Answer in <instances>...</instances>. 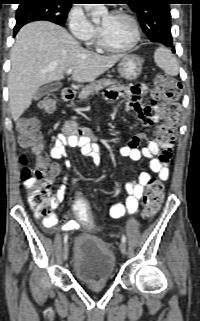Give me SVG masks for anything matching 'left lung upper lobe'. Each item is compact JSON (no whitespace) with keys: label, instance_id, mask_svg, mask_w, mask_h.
I'll list each match as a JSON object with an SVG mask.
<instances>
[{"label":"left lung upper lobe","instance_id":"5c2ea615","mask_svg":"<svg viewBox=\"0 0 200 321\" xmlns=\"http://www.w3.org/2000/svg\"><path fill=\"white\" fill-rule=\"evenodd\" d=\"M136 13L140 25L152 42L172 40L171 0H125Z\"/></svg>","mask_w":200,"mask_h":321}]
</instances>
